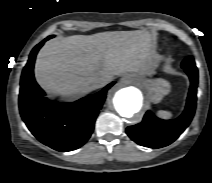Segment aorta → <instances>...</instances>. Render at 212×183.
I'll return each instance as SVG.
<instances>
[{
  "label": "aorta",
  "mask_w": 212,
  "mask_h": 183,
  "mask_svg": "<svg viewBox=\"0 0 212 183\" xmlns=\"http://www.w3.org/2000/svg\"><path fill=\"white\" fill-rule=\"evenodd\" d=\"M142 94L135 87H125L118 90L113 98V104L122 117L130 118L142 107Z\"/></svg>",
  "instance_id": "aorta-1"
}]
</instances>
